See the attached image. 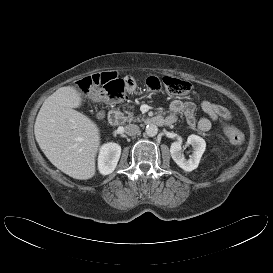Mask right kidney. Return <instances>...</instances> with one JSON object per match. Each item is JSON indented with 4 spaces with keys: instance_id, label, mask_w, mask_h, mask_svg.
Returning <instances> with one entry per match:
<instances>
[{
    "instance_id": "ca27d5eb",
    "label": "right kidney",
    "mask_w": 273,
    "mask_h": 273,
    "mask_svg": "<svg viewBox=\"0 0 273 273\" xmlns=\"http://www.w3.org/2000/svg\"><path fill=\"white\" fill-rule=\"evenodd\" d=\"M121 146L117 143H107L100 148L98 156V169L102 175L112 173L119 161Z\"/></svg>"
}]
</instances>
